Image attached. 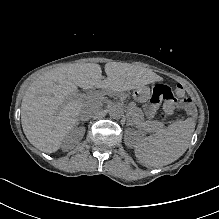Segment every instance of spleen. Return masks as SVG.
Segmentation results:
<instances>
[{
    "mask_svg": "<svg viewBox=\"0 0 219 219\" xmlns=\"http://www.w3.org/2000/svg\"><path fill=\"white\" fill-rule=\"evenodd\" d=\"M194 129L195 122L192 119L177 121L153 136L138 140L135 144L136 155L141 163L148 166L170 164L185 153Z\"/></svg>",
    "mask_w": 219,
    "mask_h": 219,
    "instance_id": "3e777b00",
    "label": "spleen"
}]
</instances>
